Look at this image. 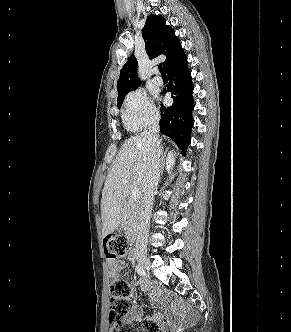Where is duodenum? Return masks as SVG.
Returning a JSON list of instances; mask_svg holds the SVG:
<instances>
[{"label":"duodenum","instance_id":"1","mask_svg":"<svg viewBox=\"0 0 291 332\" xmlns=\"http://www.w3.org/2000/svg\"><path fill=\"white\" fill-rule=\"evenodd\" d=\"M131 241H132L134 244H136V243H137V237H136V236H132Z\"/></svg>","mask_w":291,"mask_h":332}]
</instances>
